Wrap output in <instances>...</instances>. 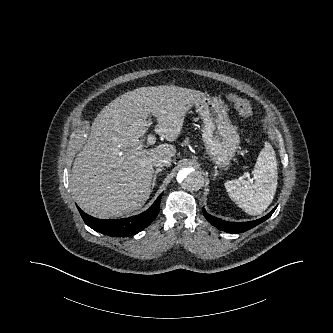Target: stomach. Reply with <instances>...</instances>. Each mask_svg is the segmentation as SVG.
Masks as SVG:
<instances>
[{
  "label": "stomach",
  "mask_w": 333,
  "mask_h": 333,
  "mask_svg": "<svg viewBox=\"0 0 333 333\" xmlns=\"http://www.w3.org/2000/svg\"><path fill=\"white\" fill-rule=\"evenodd\" d=\"M204 123L202 140L214 163L225 167L235 155L240 137L227 114V107L216 97L205 96L196 104Z\"/></svg>",
  "instance_id": "0dacf381"
}]
</instances>
